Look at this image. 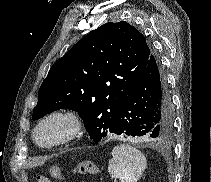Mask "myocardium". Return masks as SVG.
Masks as SVG:
<instances>
[{
    "label": "myocardium",
    "mask_w": 211,
    "mask_h": 182,
    "mask_svg": "<svg viewBox=\"0 0 211 182\" xmlns=\"http://www.w3.org/2000/svg\"><path fill=\"white\" fill-rule=\"evenodd\" d=\"M54 119H61L67 121L69 124L68 130L58 139L47 142L41 141L38 138V132L46 123ZM84 126H85L84 119L78 112L71 109L54 110L45 115L44 117H42L37 122L32 132V138L34 142L41 148H53L63 145L75 139L77 136L81 134V132L84 129Z\"/></svg>",
    "instance_id": "f54148a6"
}]
</instances>
